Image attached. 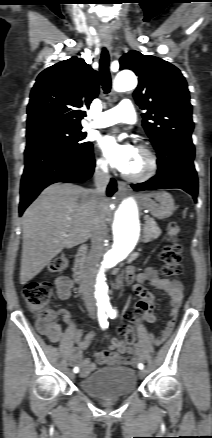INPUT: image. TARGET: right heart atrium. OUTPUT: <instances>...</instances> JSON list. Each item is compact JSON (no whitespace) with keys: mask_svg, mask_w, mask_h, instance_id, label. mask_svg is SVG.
<instances>
[{"mask_svg":"<svg viewBox=\"0 0 212 438\" xmlns=\"http://www.w3.org/2000/svg\"><path fill=\"white\" fill-rule=\"evenodd\" d=\"M96 168L99 172H106L108 170V163L105 158L99 157L96 160Z\"/></svg>","mask_w":212,"mask_h":438,"instance_id":"1","label":"right heart atrium"}]
</instances>
